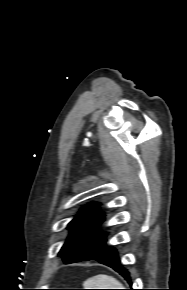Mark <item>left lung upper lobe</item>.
Instances as JSON below:
<instances>
[{
	"instance_id": "5c2ea615",
	"label": "left lung upper lobe",
	"mask_w": 187,
	"mask_h": 290,
	"mask_svg": "<svg viewBox=\"0 0 187 290\" xmlns=\"http://www.w3.org/2000/svg\"><path fill=\"white\" fill-rule=\"evenodd\" d=\"M97 206H85L68 224L70 235L59 252L66 264L90 260L105 246L106 234L93 231L104 220L103 214L94 211Z\"/></svg>"
}]
</instances>
